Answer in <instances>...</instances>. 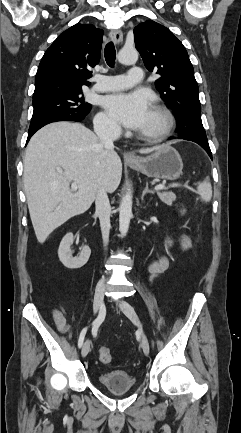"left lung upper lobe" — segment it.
Masks as SVG:
<instances>
[{"label":"left lung upper lobe","instance_id":"obj_1","mask_svg":"<svg viewBox=\"0 0 241 433\" xmlns=\"http://www.w3.org/2000/svg\"><path fill=\"white\" fill-rule=\"evenodd\" d=\"M134 40L147 69L160 75L155 86L177 117L179 137L209 146L201 121L198 84L183 44L152 20L135 27Z\"/></svg>","mask_w":241,"mask_h":433}]
</instances>
